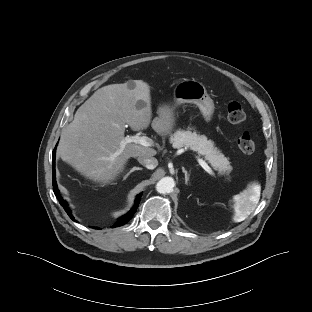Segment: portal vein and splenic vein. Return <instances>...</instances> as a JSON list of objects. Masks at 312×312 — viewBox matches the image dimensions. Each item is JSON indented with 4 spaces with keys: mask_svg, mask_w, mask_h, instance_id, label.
<instances>
[{
    "mask_svg": "<svg viewBox=\"0 0 312 312\" xmlns=\"http://www.w3.org/2000/svg\"><path fill=\"white\" fill-rule=\"evenodd\" d=\"M127 143H136L145 147H150L153 145V140L150 139L147 136H127L121 144V149L115 153V155H119L120 153H122L125 145ZM199 164L202 166V168L207 171L209 174H212L213 171L212 169L209 167V165L202 159H199Z\"/></svg>",
    "mask_w": 312,
    "mask_h": 312,
    "instance_id": "1",
    "label": "portal vein and splenic vein"
}]
</instances>
